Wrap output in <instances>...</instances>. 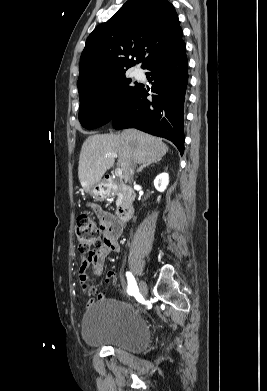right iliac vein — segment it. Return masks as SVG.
Here are the masks:
<instances>
[{
	"instance_id": "63e3f726",
	"label": "right iliac vein",
	"mask_w": 267,
	"mask_h": 391,
	"mask_svg": "<svg viewBox=\"0 0 267 391\" xmlns=\"http://www.w3.org/2000/svg\"><path fill=\"white\" fill-rule=\"evenodd\" d=\"M139 289H140V293L143 297L146 296L147 294V284L145 281L141 280L140 283H139Z\"/></svg>"
}]
</instances>
